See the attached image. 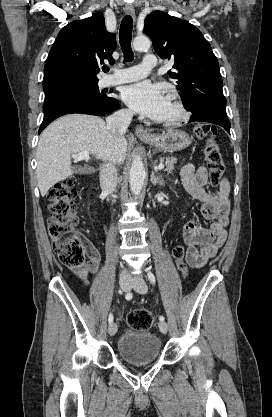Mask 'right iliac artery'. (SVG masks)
I'll list each match as a JSON object with an SVG mask.
<instances>
[{
	"instance_id": "right-iliac-artery-1",
	"label": "right iliac artery",
	"mask_w": 272,
	"mask_h": 417,
	"mask_svg": "<svg viewBox=\"0 0 272 417\" xmlns=\"http://www.w3.org/2000/svg\"><path fill=\"white\" fill-rule=\"evenodd\" d=\"M132 296H133L132 293L131 292H128L126 294L125 298H126V300H131L132 299ZM108 321H109L110 324L113 322V315H112V313L109 314Z\"/></svg>"
}]
</instances>
